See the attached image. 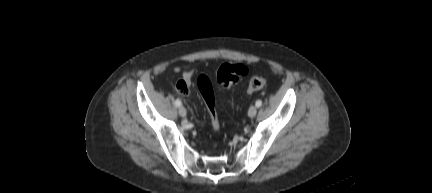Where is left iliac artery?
Returning a JSON list of instances; mask_svg holds the SVG:
<instances>
[{"mask_svg":"<svg viewBox=\"0 0 432 193\" xmlns=\"http://www.w3.org/2000/svg\"><path fill=\"white\" fill-rule=\"evenodd\" d=\"M256 107H260L262 105V101L261 100H257L255 103Z\"/></svg>","mask_w":432,"mask_h":193,"instance_id":"left-iliac-artery-1","label":"left iliac artery"}]
</instances>
